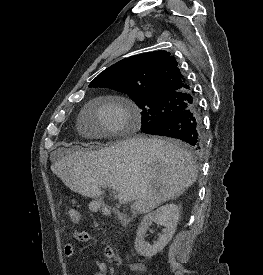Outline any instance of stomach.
I'll return each instance as SVG.
<instances>
[{
	"instance_id": "0dacf381",
	"label": "stomach",
	"mask_w": 263,
	"mask_h": 275,
	"mask_svg": "<svg viewBox=\"0 0 263 275\" xmlns=\"http://www.w3.org/2000/svg\"><path fill=\"white\" fill-rule=\"evenodd\" d=\"M100 208V203L97 201H93L89 204V209L92 211H97Z\"/></svg>"
}]
</instances>
